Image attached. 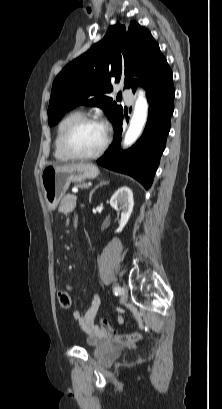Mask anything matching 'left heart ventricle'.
<instances>
[{"instance_id": "left-heart-ventricle-1", "label": "left heart ventricle", "mask_w": 222, "mask_h": 409, "mask_svg": "<svg viewBox=\"0 0 222 409\" xmlns=\"http://www.w3.org/2000/svg\"><path fill=\"white\" fill-rule=\"evenodd\" d=\"M105 129L97 123L84 124L71 137V148L79 154H92L103 144Z\"/></svg>"}]
</instances>
